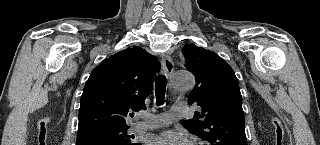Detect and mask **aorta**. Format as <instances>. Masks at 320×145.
I'll return each mask as SVG.
<instances>
[{
    "label": "aorta",
    "mask_w": 320,
    "mask_h": 145,
    "mask_svg": "<svg viewBox=\"0 0 320 145\" xmlns=\"http://www.w3.org/2000/svg\"><path fill=\"white\" fill-rule=\"evenodd\" d=\"M172 85L177 90H189L194 87L195 79L187 71H176L172 77Z\"/></svg>",
    "instance_id": "aorta-1"
}]
</instances>
